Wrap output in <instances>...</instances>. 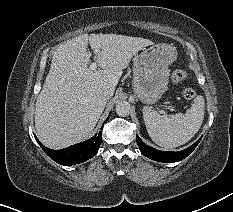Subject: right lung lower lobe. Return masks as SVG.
Instances as JSON below:
<instances>
[{
  "label": "right lung lower lobe",
  "mask_w": 233,
  "mask_h": 212,
  "mask_svg": "<svg viewBox=\"0 0 233 212\" xmlns=\"http://www.w3.org/2000/svg\"><path fill=\"white\" fill-rule=\"evenodd\" d=\"M109 117L110 114L108 118ZM101 137H102V131H99L98 134H96L89 140L72 145L65 149L52 150L43 146L35 136L41 148L51 159H53L55 162L61 165H66V166L82 163L92 158L94 155H96L99 146L101 144Z\"/></svg>",
  "instance_id": "98d812e1"
}]
</instances>
